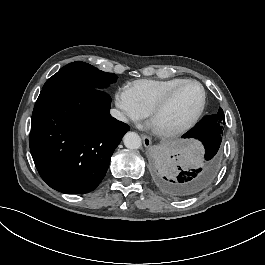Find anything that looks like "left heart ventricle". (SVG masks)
Here are the masks:
<instances>
[{
  "label": "left heart ventricle",
  "mask_w": 265,
  "mask_h": 265,
  "mask_svg": "<svg viewBox=\"0 0 265 265\" xmlns=\"http://www.w3.org/2000/svg\"><path fill=\"white\" fill-rule=\"evenodd\" d=\"M202 91L198 84H185L173 102L158 116L156 124L159 128L170 129L188 120L199 108Z\"/></svg>",
  "instance_id": "left-heart-ventricle-1"
}]
</instances>
